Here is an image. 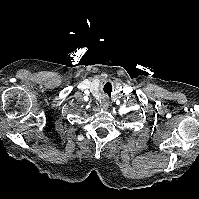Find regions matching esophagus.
<instances>
[{
    "label": "esophagus",
    "mask_w": 199,
    "mask_h": 199,
    "mask_svg": "<svg viewBox=\"0 0 199 199\" xmlns=\"http://www.w3.org/2000/svg\"><path fill=\"white\" fill-rule=\"evenodd\" d=\"M109 106H110V100H109V98L105 97V98L103 99V101H102V107H103L104 109H108Z\"/></svg>",
    "instance_id": "1"
}]
</instances>
